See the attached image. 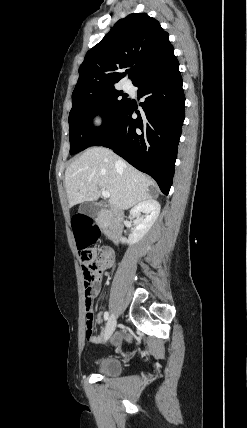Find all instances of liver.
Segmentation results:
<instances>
[{
  "label": "liver",
  "instance_id": "1",
  "mask_svg": "<svg viewBox=\"0 0 247 428\" xmlns=\"http://www.w3.org/2000/svg\"><path fill=\"white\" fill-rule=\"evenodd\" d=\"M150 187L156 188L150 177L104 147L87 149L65 171L69 207L96 201L106 190L114 209L127 210L150 199Z\"/></svg>",
  "mask_w": 247,
  "mask_h": 428
}]
</instances>
